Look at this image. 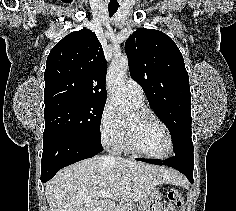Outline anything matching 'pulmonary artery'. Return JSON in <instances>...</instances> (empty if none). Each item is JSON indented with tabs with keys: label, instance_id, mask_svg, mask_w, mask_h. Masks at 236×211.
Instances as JSON below:
<instances>
[{
	"label": "pulmonary artery",
	"instance_id": "1",
	"mask_svg": "<svg viewBox=\"0 0 236 211\" xmlns=\"http://www.w3.org/2000/svg\"><path fill=\"white\" fill-rule=\"evenodd\" d=\"M126 96L137 105H143L145 102L144 91L140 84L135 80L128 79L124 86Z\"/></svg>",
	"mask_w": 236,
	"mask_h": 211
}]
</instances>
